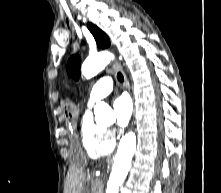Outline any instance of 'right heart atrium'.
Masks as SVG:
<instances>
[{
	"mask_svg": "<svg viewBox=\"0 0 221 193\" xmlns=\"http://www.w3.org/2000/svg\"><path fill=\"white\" fill-rule=\"evenodd\" d=\"M107 131H108V134H109L110 136L113 135V131H112V130H107Z\"/></svg>",
	"mask_w": 221,
	"mask_h": 193,
	"instance_id": "d8ad5b80",
	"label": "right heart atrium"
}]
</instances>
